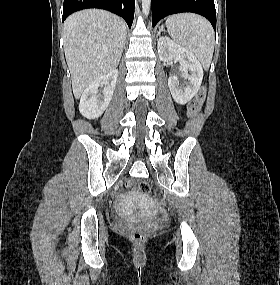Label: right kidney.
Segmentation results:
<instances>
[{"label":"right kidney","mask_w":280,"mask_h":285,"mask_svg":"<svg viewBox=\"0 0 280 285\" xmlns=\"http://www.w3.org/2000/svg\"><path fill=\"white\" fill-rule=\"evenodd\" d=\"M117 77L118 70L113 69L84 90L79 103V111L84 117L96 119L103 114L112 99ZM99 87L103 88L102 94H99Z\"/></svg>","instance_id":"right-kidney-1"}]
</instances>
